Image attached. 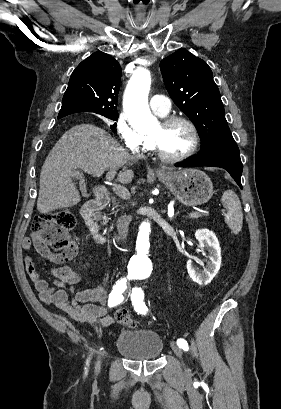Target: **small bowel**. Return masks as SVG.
Returning a JSON list of instances; mask_svg holds the SVG:
<instances>
[{
    "label": "small bowel",
    "instance_id": "1",
    "mask_svg": "<svg viewBox=\"0 0 281 409\" xmlns=\"http://www.w3.org/2000/svg\"><path fill=\"white\" fill-rule=\"evenodd\" d=\"M34 245L42 255L53 258L40 239H35ZM31 246L30 239L23 240L24 250H30ZM25 268L42 302L56 307L78 323L103 328L116 324V317L107 314L109 307L107 282L96 288L79 290L74 285L81 281L82 276L68 265L54 267L49 278L39 277L31 257L25 258Z\"/></svg>",
    "mask_w": 281,
    "mask_h": 409
}]
</instances>
